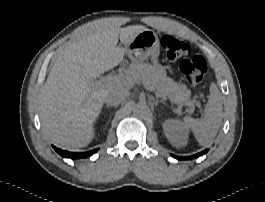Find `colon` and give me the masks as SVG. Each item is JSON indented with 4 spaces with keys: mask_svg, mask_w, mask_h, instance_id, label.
Segmentation results:
<instances>
[{
    "mask_svg": "<svg viewBox=\"0 0 265 202\" xmlns=\"http://www.w3.org/2000/svg\"><path fill=\"white\" fill-rule=\"evenodd\" d=\"M161 47L168 60L178 61L179 69L189 84L197 85L202 82L207 70L206 62L200 55L191 56L188 44L165 34L161 39Z\"/></svg>",
    "mask_w": 265,
    "mask_h": 202,
    "instance_id": "colon-1",
    "label": "colon"
}]
</instances>
